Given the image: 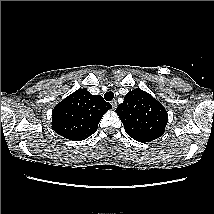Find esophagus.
Segmentation results:
<instances>
[{
    "label": "esophagus",
    "mask_w": 214,
    "mask_h": 214,
    "mask_svg": "<svg viewBox=\"0 0 214 214\" xmlns=\"http://www.w3.org/2000/svg\"><path fill=\"white\" fill-rule=\"evenodd\" d=\"M111 105H112L113 109H115L117 107V101H115V100L111 101Z\"/></svg>",
    "instance_id": "1"
}]
</instances>
